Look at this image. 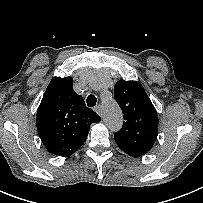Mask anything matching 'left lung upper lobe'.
Listing matches in <instances>:
<instances>
[{"label":"left lung upper lobe","instance_id":"obj_1","mask_svg":"<svg viewBox=\"0 0 203 203\" xmlns=\"http://www.w3.org/2000/svg\"><path fill=\"white\" fill-rule=\"evenodd\" d=\"M114 96L122 109L124 123L114 134L118 147L133 157L147 153L158 135V114L141 84L119 80Z\"/></svg>","mask_w":203,"mask_h":203}]
</instances>
